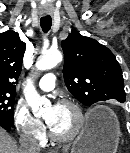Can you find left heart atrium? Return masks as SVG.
<instances>
[{"mask_svg": "<svg viewBox=\"0 0 130 153\" xmlns=\"http://www.w3.org/2000/svg\"><path fill=\"white\" fill-rule=\"evenodd\" d=\"M57 106H58V105L53 106V107H52V110L55 111V110L57 109ZM47 123H48V122H47ZM48 125H49V124H48Z\"/></svg>", "mask_w": 130, "mask_h": 153, "instance_id": "obj_1", "label": "left heart atrium"}]
</instances>
